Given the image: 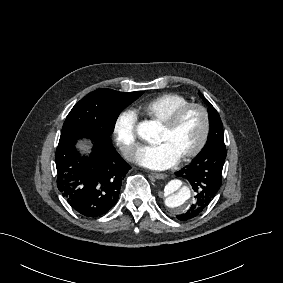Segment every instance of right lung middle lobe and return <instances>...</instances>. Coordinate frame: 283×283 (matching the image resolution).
Wrapping results in <instances>:
<instances>
[{
    "label": "right lung middle lobe",
    "mask_w": 283,
    "mask_h": 283,
    "mask_svg": "<svg viewBox=\"0 0 283 283\" xmlns=\"http://www.w3.org/2000/svg\"><path fill=\"white\" fill-rule=\"evenodd\" d=\"M144 92H118L97 89L82 98L68 114L61 134L77 132L111 141L115 122L121 111Z\"/></svg>",
    "instance_id": "dd1d6c3e"
}]
</instances>
